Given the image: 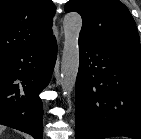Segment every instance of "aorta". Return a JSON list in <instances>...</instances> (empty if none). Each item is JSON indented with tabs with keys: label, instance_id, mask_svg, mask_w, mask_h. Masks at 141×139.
Returning <instances> with one entry per match:
<instances>
[{
	"label": "aorta",
	"instance_id": "1",
	"mask_svg": "<svg viewBox=\"0 0 141 139\" xmlns=\"http://www.w3.org/2000/svg\"><path fill=\"white\" fill-rule=\"evenodd\" d=\"M82 27L80 14L71 12L63 20L64 47L61 61V87L68 96L75 87L79 68V34Z\"/></svg>",
	"mask_w": 141,
	"mask_h": 139
}]
</instances>
